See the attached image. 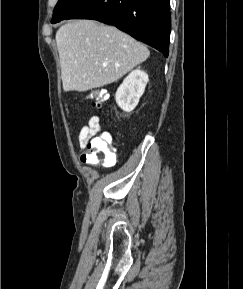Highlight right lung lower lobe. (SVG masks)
<instances>
[{"instance_id": "right-lung-lower-lobe-1", "label": "right lung lower lobe", "mask_w": 243, "mask_h": 289, "mask_svg": "<svg viewBox=\"0 0 243 289\" xmlns=\"http://www.w3.org/2000/svg\"><path fill=\"white\" fill-rule=\"evenodd\" d=\"M66 19H93L169 53V0H84Z\"/></svg>"}]
</instances>
